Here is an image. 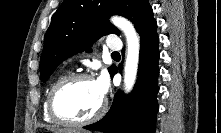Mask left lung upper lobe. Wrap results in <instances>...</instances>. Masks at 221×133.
Here are the masks:
<instances>
[{
  "instance_id": "obj_1",
  "label": "left lung upper lobe",
  "mask_w": 221,
  "mask_h": 133,
  "mask_svg": "<svg viewBox=\"0 0 221 133\" xmlns=\"http://www.w3.org/2000/svg\"><path fill=\"white\" fill-rule=\"evenodd\" d=\"M112 14L128 18L137 32L154 20L148 0H65L54 13L45 35L40 79L45 82L63 60L89 48L100 37L119 35L108 21Z\"/></svg>"
}]
</instances>
